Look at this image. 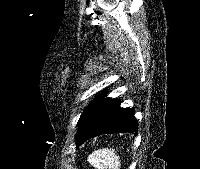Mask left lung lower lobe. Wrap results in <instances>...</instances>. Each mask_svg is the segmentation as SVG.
Segmentation results:
<instances>
[{
	"instance_id": "1",
	"label": "left lung lower lobe",
	"mask_w": 200,
	"mask_h": 169,
	"mask_svg": "<svg viewBox=\"0 0 200 169\" xmlns=\"http://www.w3.org/2000/svg\"><path fill=\"white\" fill-rule=\"evenodd\" d=\"M119 99L105 98L97 102L78 126L76 146L86 140L109 133L137 134L134 109L121 108Z\"/></svg>"
}]
</instances>
